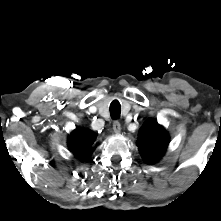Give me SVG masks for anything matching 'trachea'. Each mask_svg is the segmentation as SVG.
Instances as JSON below:
<instances>
[{
	"instance_id": "1",
	"label": "trachea",
	"mask_w": 221,
	"mask_h": 221,
	"mask_svg": "<svg viewBox=\"0 0 221 221\" xmlns=\"http://www.w3.org/2000/svg\"><path fill=\"white\" fill-rule=\"evenodd\" d=\"M121 113V105L118 100H114L110 104V115L112 119H117Z\"/></svg>"
}]
</instances>
